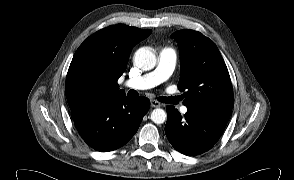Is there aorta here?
I'll return each mask as SVG.
<instances>
[{
  "label": "aorta",
  "mask_w": 294,
  "mask_h": 180,
  "mask_svg": "<svg viewBox=\"0 0 294 180\" xmlns=\"http://www.w3.org/2000/svg\"><path fill=\"white\" fill-rule=\"evenodd\" d=\"M134 63L138 68L148 71L155 67L156 56L150 48L142 47L135 52ZM166 118L167 114L163 109L156 108L151 113V120L155 124L164 123Z\"/></svg>",
  "instance_id": "762f6f07"
}]
</instances>
